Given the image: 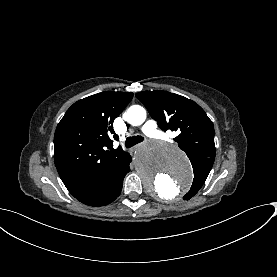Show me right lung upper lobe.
Returning <instances> with one entry per match:
<instances>
[{"label": "right lung upper lobe", "instance_id": "obj_1", "mask_svg": "<svg viewBox=\"0 0 277 277\" xmlns=\"http://www.w3.org/2000/svg\"><path fill=\"white\" fill-rule=\"evenodd\" d=\"M133 95L104 91L86 97L75 102L59 122L54 136V161L74 197L103 180L127 157L121 147L113 148L111 138L118 139L113 121Z\"/></svg>", "mask_w": 277, "mask_h": 277}]
</instances>
